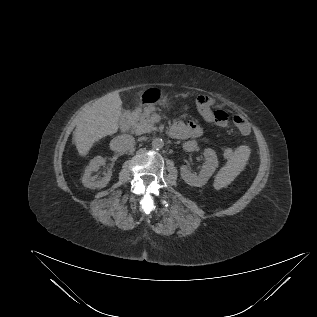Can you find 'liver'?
I'll return each instance as SVG.
<instances>
[{"label":"liver","mask_w":317,"mask_h":317,"mask_svg":"<svg viewBox=\"0 0 317 317\" xmlns=\"http://www.w3.org/2000/svg\"><path fill=\"white\" fill-rule=\"evenodd\" d=\"M122 100L117 91L108 93L87 106L80 114L74 141L80 156L88 154L93 144L118 130Z\"/></svg>","instance_id":"1"}]
</instances>
